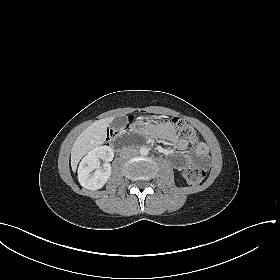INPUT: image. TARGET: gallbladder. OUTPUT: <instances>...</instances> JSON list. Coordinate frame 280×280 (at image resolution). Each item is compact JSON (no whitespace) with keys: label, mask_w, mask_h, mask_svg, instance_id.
<instances>
[{"label":"gallbladder","mask_w":280,"mask_h":280,"mask_svg":"<svg viewBox=\"0 0 280 280\" xmlns=\"http://www.w3.org/2000/svg\"><path fill=\"white\" fill-rule=\"evenodd\" d=\"M127 122H128V119L126 116H119V117H116L111 122L110 127L113 129H121V128L125 127Z\"/></svg>","instance_id":"bac80fb5"}]
</instances>
